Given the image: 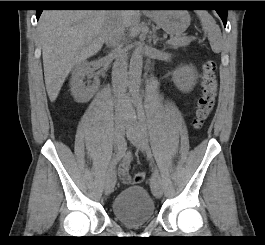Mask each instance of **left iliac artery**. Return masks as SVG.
Here are the masks:
<instances>
[{
    "instance_id": "obj_1",
    "label": "left iliac artery",
    "mask_w": 265,
    "mask_h": 245,
    "mask_svg": "<svg viewBox=\"0 0 265 245\" xmlns=\"http://www.w3.org/2000/svg\"><path fill=\"white\" fill-rule=\"evenodd\" d=\"M137 117L139 119V122H140L143 130L147 133L146 117H145V113L143 111V107L141 104H139L138 108H137ZM156 173L158 174V171ZM150 184H151V181H150Z\"/></svg>"
}]
</instances>
